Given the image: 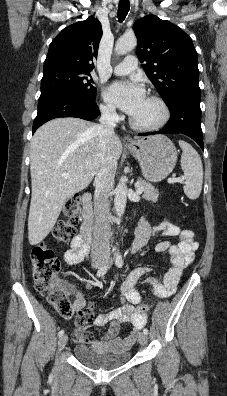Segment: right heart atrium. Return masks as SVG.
<instances>
[{
    "label": "right heart atrium",
    "mask_w": 227,
    "mask_h": 396,
    "mask_svg": "<svg viewBox=\"0 0 227 396\" xmlns=\"http://www.w3.org/2000/svg\"><path fill=\"white\" fill-rule=\"evenodd\" d=\"M100 112L102 116L108 120L116 121L119 118V115L116 112L115 108L108 104H101Z\"/></svg>",
    "instance_id": "1"
}]
</instances>
